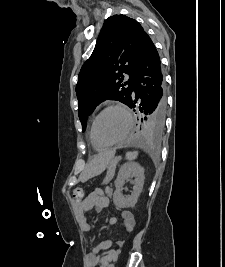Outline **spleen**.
Here are the masks:
<instances>
[{"label": "spleen", "instance_id": "3e777b00", "mask_svg": "<svg viewBox=\"0 0 225 267\" xmlns=\"http://www.w3.org/2000/svg\"><path fill=\"white\" fill-rule=\"evenodd\" d=\"M138 156V152L137 151H133V152H127L126 154V158L128 161H133L137 158Z\"/></svg>", "mask_w": 225, "mask_h": 267}]
</instances>
